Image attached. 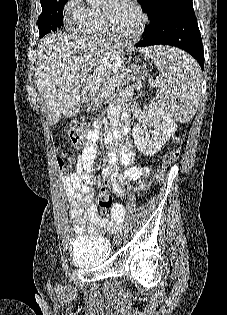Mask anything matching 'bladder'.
Masks as SVG:
<instances>
[{
    "label": "bladder",
    "mask_w": 227,
    "mask_h": 315,
    "mask_svg": "<svg viewBox=\"0 0 227 315\" xmlns=\"http://www.w3.org/2000/svg\"><path fill=\"white\" fill-rule=\"evenodd\" d=\"M69 255L79 267L93 268L109 260L111 246L105 237L83 236L72 241Z\"/></svg>",
    "instance_id": "bladder-1"
}]
</instances>
